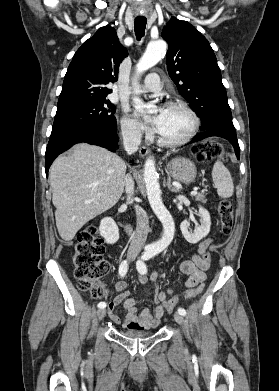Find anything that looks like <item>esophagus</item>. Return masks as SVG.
Masks as SVG:
<instances>
[{"instance_id": "1", "label": "esophagus", "mask_w": 279, "mask_h": 391, "mask_svg": "<svg viewBox=\"0 0 279 391\" xmlns=\"http://www.w3.org/2000/svg\"><path fill=\"white\" fill-rule=\"evenodd\" d=\"M139 153L142 157H145L150 154V149L145 146H142L140 147Z\"/></svg>"}]
</instances>
